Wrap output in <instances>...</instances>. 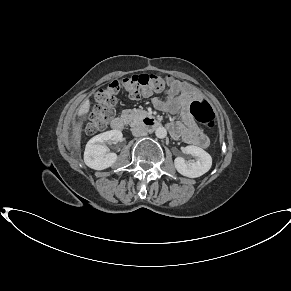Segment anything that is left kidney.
I'll return each mask as SVG.
<instances>
[{
    "instance_id": "5707ae66",
    "label": "left kidney",
    "mask_w": 291,
    "mask_h": 291,
    "mask_svg": "<svg viewBox=\"0 0 291 291\" xmlns=\"http://www.w3.org/2000/svg\"><path fill=\"white\" fill-rule=\"evenodd\" d=\"M184 153L196 157V161H187L182 157L174 160L176 170L183 176L197 178L208 172L212 166V158L209 153L197 146H186Z\"/></svg>"
}]
</instances>
